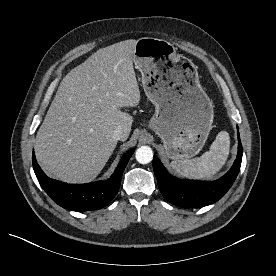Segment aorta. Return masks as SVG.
Returning <instances> with one entry per match:
<instances>
[{"label": "aorta", "instance_id": "obj_1", "mask_svg": "<svg viewBox=\"0 0 276 276\" xmlns=\"http://www.w3.org/2000/svg\"><path fill=\"white\" fill-rule=\"evenodd\" d=\"M135 157L140 164H148L153 159V151L149 146H141L136 150Z\"/></svg>", "mask_w": 276, "mask_h": 276}]
</instances>
